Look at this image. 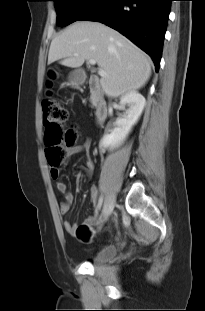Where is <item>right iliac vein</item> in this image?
<instances>
[{
    "mask_svg": "<svg viewBox=\"0 0 205 311\" xmlns=\"http://www.w3.org/2000/svg\"><path fill=\"white\" fill-rule=\"evenodd\" d=\"M114 206H115V198L114 197L108 198L102 209L100 223L105 222L109 218L114 209Z\"/></svg>",
    "mask_w": 205,
    "mask_h": 311,
    "instance_id": "right-iliac-vein-1",
    "label": "right iliac vein"
}]
</instances>
